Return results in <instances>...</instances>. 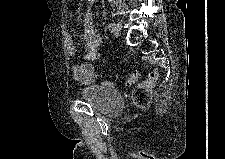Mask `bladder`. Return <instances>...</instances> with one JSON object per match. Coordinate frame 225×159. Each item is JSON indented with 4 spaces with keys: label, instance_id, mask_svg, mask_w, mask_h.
Returning <instances> with one entry per match:
<instances>
[{
    "label": "bladder",
    "instance_id": "31cf9c89",
    "mask_svg": "<svg viewBox=\"0 0 225 159\" xmlns=\"http://www.w3.org/2000/svg\"><path fill=\"white\" fill-rule=\"evenodd\" d=\"M81 98L105 116H115L124 107V98L113 86L94 83L81 90Z\"/></svg>",
    "mask_w": 225,
    "mask_h": 159
}]
</instances>
